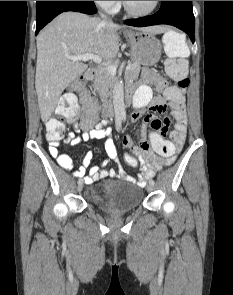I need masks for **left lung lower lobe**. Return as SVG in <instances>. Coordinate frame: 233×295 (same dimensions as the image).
I'll list each match as a JSON object with an SVG mask.
<instances>
[{"label":"left lung lower lobe","mask_w":233,"mask_h":295,"mask_svg":"<svg viewBox=\"0 0 233 295\" xmlns=\"http://www.w3.org/2000/svg\"><path fill=\"white\" fill-rule=\"evenodd\" d=\"M161 7L152 16L124 21L127 25L145 27L157 24L173 25L186 32L194 43L195 18L192 1H161Z\"/></svg>","instance_id":"0a47b994"}]
</instances>
